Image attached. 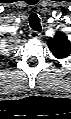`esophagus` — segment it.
Instances as JSON below:
<instances>
[{
    "mask_svg": "<svg viewBox=\"0 0 71 119\" xmlns=\"http://www.w3.org/2000/svg\"><path fill=\"white\" fill-rule=\"evenodd\" d=\"M29 36L33 39H40L41 38V33L38 32V31L33 30V31L30 32Z\"/></svg>",
    "mask_w": 71,
    "mask_h": 119,
    "instance_id": "esophagus-1",
    "label": "esophagus"
}]
</instances>
